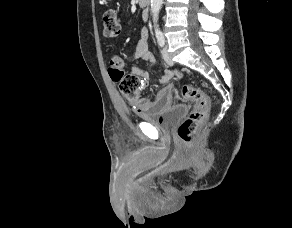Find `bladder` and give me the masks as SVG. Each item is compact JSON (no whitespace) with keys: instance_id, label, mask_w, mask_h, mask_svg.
Wrapping results in <instances>:
<instances>
[{"instance_id":"1","label":"bladder","mask_w":292,"mask_h":228,"mask_svg":"<svg viewBox=\"0 0 292 228\" xmlns=\"http://www.w3.org/2000/svg\"><path fill=\"white\" fill-rule=\"evenodd\" d=\"M188 113V108L185 105H176L165 112L152 115V116H143L142 120L146 123H149L153 126H156L161 129H170L176 123H178L182 118Z\"/></svg>"}]
</instances>
